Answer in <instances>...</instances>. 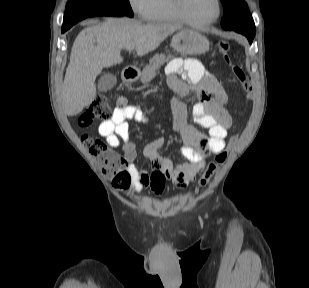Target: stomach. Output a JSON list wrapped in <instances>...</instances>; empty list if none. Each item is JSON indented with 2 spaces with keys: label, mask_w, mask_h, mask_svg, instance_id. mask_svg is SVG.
Here are the masks:
<instances>
[{
  "label": "stomach",
  "mask_w": 309,
  "mask_h": 288,
  "mask_svg": "<svg viewBox=\"0 0 309 288\" xmlns=\"http://www.w3.org/2000/svg\"><path fill=\"white\" fill-rule=\"evenodd\" d=\"M171 45L182 55H199L209 49V41L204 35L187 28L173 35Z\"/></svg>",
  "instance_id": "1"
}]
</instances>
